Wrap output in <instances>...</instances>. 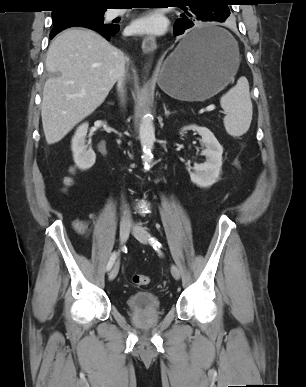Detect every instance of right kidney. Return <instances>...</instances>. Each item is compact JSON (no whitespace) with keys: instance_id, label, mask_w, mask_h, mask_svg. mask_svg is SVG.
<instances>
[{"instance_id":"ca27d5eb","label":"right kidney","mask_w":306,"mask_h":387,"mask_svg":"<svg viewBox=\"0 0 306 387\" xmlns=\"http://www.w3.org/2000/svg\"><path fill=\"white\" fill-rule=\"evenodd\" d=\"M88 123L80 125L72 138L71 149L76 166L81 170L91 168L96 161V154L86 145Z\"/></svg>"}]
</instances>
